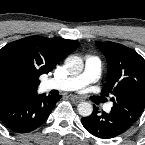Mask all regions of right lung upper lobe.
<instances>
[{"mask_svg":"<svg viewBox=\"0 0 145 145\" xmlns=\"http://www.w3.org/2000/svg\"><path fill=\"white\" fill-rule=\"evenodd\" d=\"M79 46L77 40L30 36L0 49V103L34 96L39 76L48 73Z\"/></svg>","mask_w":145,"mask_h":145,"instance_id":"obj_1","label":"right lung upper lobe"}]
</instances>
